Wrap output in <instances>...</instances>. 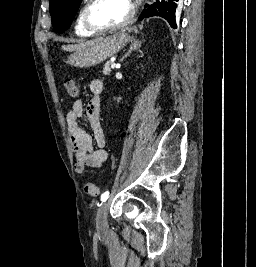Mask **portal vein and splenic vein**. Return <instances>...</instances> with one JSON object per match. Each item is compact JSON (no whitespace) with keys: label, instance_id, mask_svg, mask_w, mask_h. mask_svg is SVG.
Here are the masks:
<instances>
[{"label":"portal vein and splenic vein","instance_id":"obj_1","mask_svg":"<svg viewBox=\"0 0 256 267\" xmlns=\"http://www.w3.org/2000/svg\"><path fill=\"white\" fill-rule=\"evenodd\" d=\"M111 68H117V66H115V64H111Z\"/></svg>","mask_w":256,"mask_h":267}]
</instances>
